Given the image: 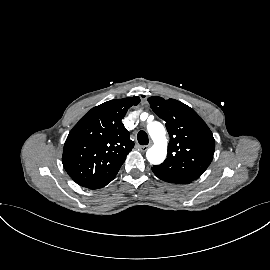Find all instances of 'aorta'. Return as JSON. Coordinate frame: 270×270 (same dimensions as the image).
I'll use <instances>...</instances> for the list:
<instances>
[{"label":"aorta","mask_w":270,"mask_h":270,"mask_svg":"<svg viewBox=\"0 0 270 270\" xmlns=\"http://www.w3.org/2000/svg\"><path fill=\"white\" fill-rule=\"evenodd\" d=\"M148 133L154 145L147 150V160L153 164H161L167 155V139L164 126L157 121L151 122L147 126Z\"/></svg>","instance_id":"762f6f07"}]
</instances>
